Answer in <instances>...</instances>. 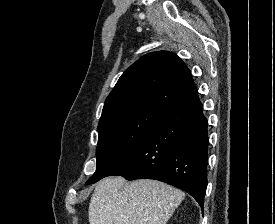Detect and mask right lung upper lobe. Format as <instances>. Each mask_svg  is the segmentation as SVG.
Listing matches in <instances>:
<instances>
[{"instance_id": "right-lung-upper-lobe-1", "label": "right lung upper lobe", "mask_w": 275, "mask_h": 224, "mask_svg": "<svg viewBox=\"0 0 275 224\" xmlns=\"http://www.w3.org/2000/svg\"><path fill=\"white\" fill-rule=\"evenodd\" d=\"M195 89L189 69L176 54L149 53L122 74L106 98L99 125L140 108L167 110Z\"/></svg>"}]
</instances>
